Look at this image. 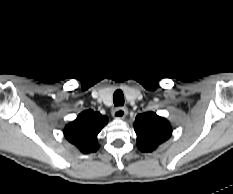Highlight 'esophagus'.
<instances>
[{"label": "esophagus", "instance_id": "34e87169", "mask_svg": "<svg viewBox=\"0 0 233 194\" xmlns=\"http://www.w3.org/2000/svg\"><path fill=\"white\" fill-rule=\"evenodd\" d=\"M127 115V109L124 107H117L113 111V116L117 119H123Z\"/></svg>", "mask_w": 233, "mask_h": 194}]
</instances>
